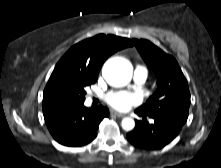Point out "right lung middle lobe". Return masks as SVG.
<instances>
[{"label":"right lung middle lobe","instance_id":"1","mask_svg":"<svg viewBox=\"0 0 221 168\" xmlns=\"http://www.w3.org/2000/svg\"><path fill=\"white\" fill-rule=\"evenodd\" d=\"M98 74L76 67H62L52 73L46 89L53 100L84 102L85 88L97 81Z\"/></svg>","mask_w":221,"mask_h":168}]
</instances>
